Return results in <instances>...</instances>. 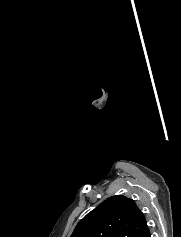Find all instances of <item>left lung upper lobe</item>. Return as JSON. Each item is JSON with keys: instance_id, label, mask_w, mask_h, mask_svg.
I'll list each match as a JSON object with an SVG mask.
<instances>
[{"instance_id": "left-lung-upper-lobe-1", "label": "left lung upper lobe", "mask_w": 181, "mask_h": 237, "mask_svg": "<svg viewBox=\"0 0 181 237\" xmlns=\"http://www.w3.org/2000/svg\"><path fill=\"white\" fill-rule=\"evenodd\" d=\"M146 228L145 216L134 200L116 195L88 213L71 237H140Z\"/></svg>"}]
</instances>
